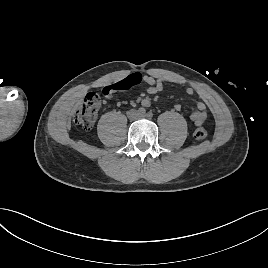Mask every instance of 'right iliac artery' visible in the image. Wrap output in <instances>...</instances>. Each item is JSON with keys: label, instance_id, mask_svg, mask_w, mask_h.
Here are the masks:
<instances>
[{"label": "right iliac artery", "instance_id": "1", "mask_svg": "<svg viewBox=\"0 0 268 268\" xmlns=\"http://www.w3.org/2000/svg\"><path fill=\"white\" fill-rule=\"evenodd\" d=\"M138 113H139V114H145V113H146L145 108L140 107V108L138 109Z\"/></svg>", "mask_w": 268, "mask_h": 268}]
</instances>
